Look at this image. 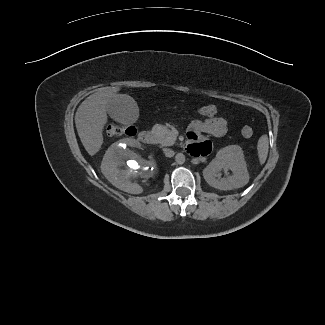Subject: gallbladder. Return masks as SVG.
Wrapping results in <instances>:
<instances>
[{
	"label": "gallbladder",
	"mask_w": 325,
	"mask_h": 325,
	"mask_svg": "<svg viewBox=\"0 0 325 325\" xmlns=\"http://www.w3.org/2000/svg\"><path fill=\"white\" fill-rule=\"evenodd\" d=\"M107 112L115 121L122 124L134 123L139 116L136 102L128 96L116 97L107 104Z\"/></svg>",
	"instance_id": "gallbladder-1"
}]
</instances>
